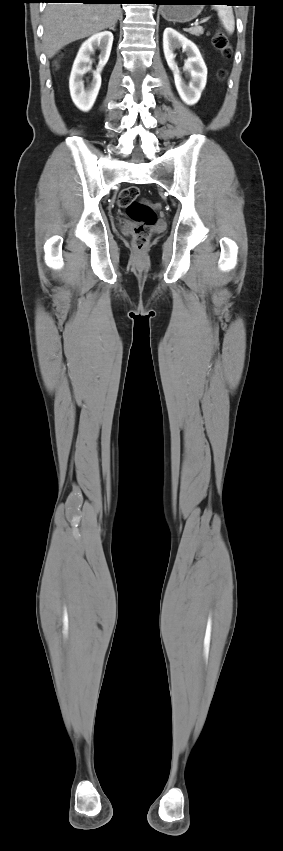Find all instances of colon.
<instances>
[{
	"mask_svg": "<svg viewBox=\"0 0 283 851\" xmlns=\"http://www.w3.org/2000/svg\"><path fill=\"white\" fill-rule=\"evenodd\" d=\"M214 47L221 52L226 59L231 57L232 48L230 39L223 30H217L212 38ZM224 71L219 76L224 77ZM140 190L136 186H130L120 191L117 199L118 206L127 211L128 216L134 221L133 244L137 250H142L148 242L151 228L156 221L155 210L160 207L159 203L148 200L138 201Z\"/></svg>",
	"mask_w": 283,
	"mask_h": 851,
	"instance_id": "1",
	"label": "colon"
}]
</instances>
